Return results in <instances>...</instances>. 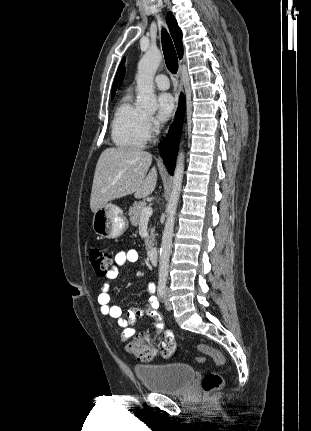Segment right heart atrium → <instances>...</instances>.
I'll return each mask as SVG.
<instances>
[{
    "mask_svg": "<svg viewBox=\"0 0 311 431\" xmlns=\"http://www.w3.org/2000/svg\"><path fill=\"white\" fill-rule=\"evenodd\" d=\"M146 122L149 137H154L155 135H157L159 132V124L157 120L152 115H148L146 118Z\"/></svg>",
    "mask_w": 311,
    "mask_h": 431,
    "instance_id": "obj_1",
    "label": "right heart atrium"
}]
</instances>
